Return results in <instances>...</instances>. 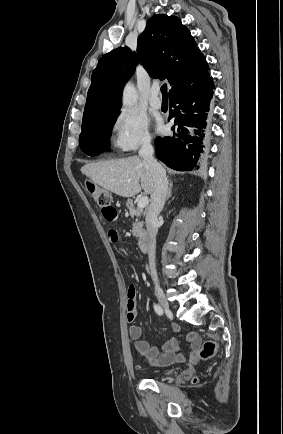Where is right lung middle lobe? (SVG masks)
<instances>
[{
  "instance_id": "right-lung-middle-lobe-1",
  "label": "right lung middle lobe",
  "mask_w": 283,
  "mask_h": 434,
  "mask_svg": "<svg viewBox=\"0 0 283 434\" xmlns=\"http://www.w3.org/2000/svg\"><path fill=\"white\" fill-rule=\"evenodd\" d=\"M118 114L107 116L103 120L82 128L79 137L81 150L95 156L109 148L111 129Z\"/></svg>"
}]
</instances>
